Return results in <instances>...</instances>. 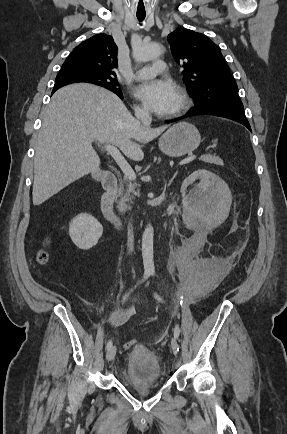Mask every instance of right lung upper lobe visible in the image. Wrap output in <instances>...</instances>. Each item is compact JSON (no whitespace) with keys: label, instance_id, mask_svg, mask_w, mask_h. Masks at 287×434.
<instances>
[{"label":"right lung upper lobe","instance_id":"obj_1","mask_svg":"<svg viewBox=\"0 0 287 434\" xmlns=\"http://www.w3.org/2000/svg\"><path fill=\"white\" fill-rule=\"evenodd\" d=\"M117 50L113 37L97 34L80 43L69 55L62 69L78 68L116 76ZM62 86H55L52 93Z\"/></svg>","mask_w":287,"mask_h":434}]
</instances>
